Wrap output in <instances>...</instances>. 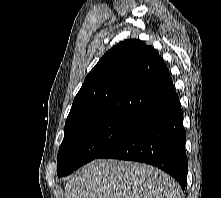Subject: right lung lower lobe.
Here are the masks:
<instances>
[{
    "mask_svg": "<svg viewBox=\"0 0 221 198\" xmlns=\"http://www.w3.org/2000/svg\"><path fill=\"white\" fill-rule=\"evenodd\" d=\"M182 119L179 98L174 93L141 118L127 136L98 158L138 161L156 166L174 177L184 190L188 161Z\"/></svg>",
    "mask_w": 221,
    "mask_h": 198,
    "instance_id": "98d812e1",
    "label": "right lung lower lobe"
}]
</instances>
